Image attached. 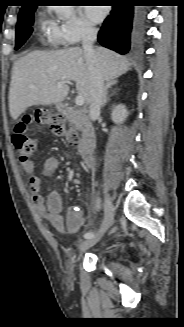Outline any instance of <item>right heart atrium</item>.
I'll use <instances>...</instances> for the list:
<instances>
[{
	"label": "right heart atrium",
	"instance_id": "right-heart-atrium-1",
	"mask_svg": "<svg viewBox=\"0 0 184 327\" xmlns=\"http://www.w3.org/2000/svg\"><path fill=\"white\" fill-rule=\"evenodd\" d=\"M95 33V26L77 8H70L67 15L51 29L52 39L64 46L76 45Z\"/></svg>",
	"mask_w": 184,
	"mask_h": 327
}]
</instances>
